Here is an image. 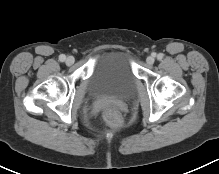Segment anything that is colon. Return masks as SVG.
<instances>
[{"label": "colon", "instance_id": "1", "mask_svg": "<svg viewBox=\"0 0 219 174\" xmlns=\"http://www.w3.org/2000/svg\"><path fill=\"white\" fill-rule=\"evenodd\" d=\"M104 118L111 126H118L121 122V116L117 108L110 106L104 112Z\"/></svg>", "mask_w": 219, "mask_h": 174}]
</instances>
